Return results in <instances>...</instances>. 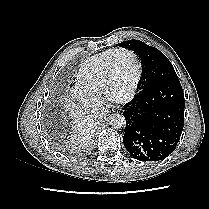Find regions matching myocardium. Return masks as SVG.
Segmentation results:
<instances>
[{
    "instance_id": "myocardium-1",
    "label": "myocardium",
    "mask_w": 209,
    "mask_h": 209,
    "mask_svg": "<svg viewBox=\"0 0 209 209\" xmlns=\"http://www.w3.org/2000/svg\"><path fill=\"white\" fill-rule=\"evenodd\" d=\"M119 54H128L132 57V59L135 63V66H136V78H135L134 84H133L130 92L126 96L120 97V98H112L109 95V85H110L111 73H112V69H113V61H114V58ZM141 79H142V67H141V64H140V61H139L137 55L130 49L117 48L113 51L111 57L109 58L107 65H106V68L104 70L102 93L105 97H107L108 99H110L114 102H117V103L129 102L130 100H132L135 97V95L138 91V88L140 86Z\"/></svg>"
}]
</instances>
